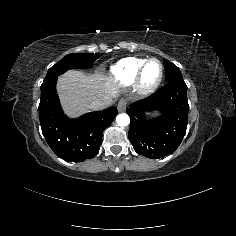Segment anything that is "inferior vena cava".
Wrapping results in <instances>:
<instances>
[{"label":"inferior vena cava","instance_id":"inferior-vena-cava-1","mask_svg":"<svg viewBox=\"0 0 236 236\" xmlns=\"http://www.w3.org/2000/svg\"><path fill=\"white\" fill-rule=\"evenodd\" d=\"M106 105H108V103H105L103 100L95 99L88 104V108L91 110H98L104 108Z\"/></svg>","mask_w":236,"mask_h":236}]
</instances>
